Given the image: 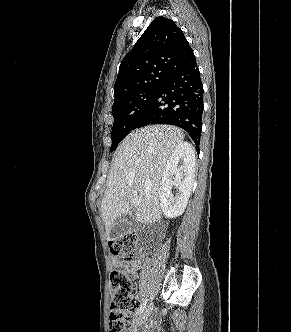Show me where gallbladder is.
Returning a JSON list of instances; mask_svg holds the SVG:
<instances>
[{"label": "gallbladder", "mask_w": 291, "mask_h": 332, "mask_svg": "<svg viewBox=\"0 0 291 332\" xmlns=\"http://www.w3.org/2000/svg\"><path fill=\"white\" fill-rule=\"evenodd\" d=\"M138 228V224L135 221L134 213L120 217L117 222L114 223L110 230V237L112 239H119L124 235L134 233Z\"/></svg>", "instance_id": "1"}]
</instances>
